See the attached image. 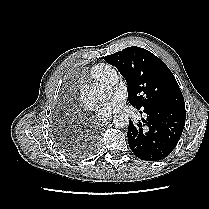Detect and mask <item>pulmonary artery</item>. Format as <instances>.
<instances>
[{
    "mask_svg": "<svg viewBox=\"0 0 209 209\" xmlns=\"http://www.w3.org/2000/svg\"><path fill=\"white\" fill-rule=\"evenodd\" d=\"M117 80H118V75H117V72L114 70V71L111 72V74L109 75L108 83H116Z\"/></svg>",
    "mask_w": 209,
    "mask_h": 209,
    "instance_id": "obj_1",
    "label": "pulmonary artery"
}]
</instances>
